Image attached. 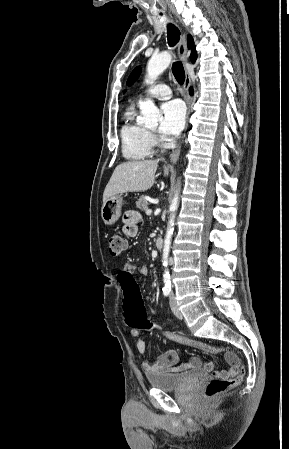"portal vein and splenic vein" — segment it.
Listing matches in <instances>:
<instances>
[{
  "mask_svg": "<svg viewBox=\"0 0 289 449\" xmlns=\"http://www.w3.org/2000/svg\"><path fill=\"white\" fill-rule=\"evenodd\" d=\"M151 213H152V210H151V209H147V210H146V214H147V215H151Z\"/></svg>",
  "mask_w": 289,
  "mask_h": 449,
  "instance_id": "obj_1",
  "label": "portal vein and splenic vein"
}]
</instances>
